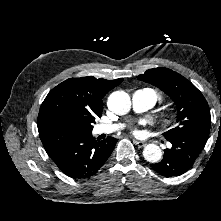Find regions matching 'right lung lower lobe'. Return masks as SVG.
<instances>
[{"label": "right lung lower lobe", "mask_w": 221, "mask_h": 221, "mask_svg": "<svg viewBox=\"0 0 221 221\" xmlns=\"http://www.w3.org/2000/svg\"><path fill=\"white\" fill-rule=\"evenodd\" d=\"M48 156L67 176L88 178L95 174L111 155L118 139L96 141L91 133H81L61 126L38 127Z\"/></svg>", "instance_id": "98d812e1"}]
</instances>
